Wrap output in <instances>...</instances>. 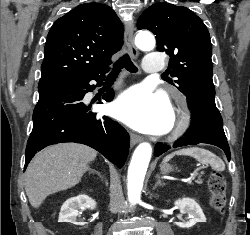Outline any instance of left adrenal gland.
Here are the masks:
<instances>
[{"label": "left adrenal gland", "instance_id": "1", "mask_svg": "<svg viewBox=\"0 0 250 235\" xmlns=\"http://www.w3.org/2000/svg\"><path fill=\"white\" fill-rule=\"evenodd\" d=\"M156 178H157V182H156V184L154 185L153 190L156 189L157 186H161V185H164V184H165V183L161 182V179H160V176H159V175H157Z\"/></svg>", "mask_w": 250, "mask_h": 235}]
</instances>
